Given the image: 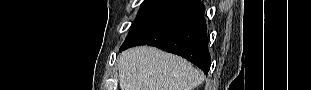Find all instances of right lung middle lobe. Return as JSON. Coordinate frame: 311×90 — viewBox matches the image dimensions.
<instances>
[{"mask_svg": "<svg viewBox=\"0 0 311 90\" xmlns=\"http://www.w3.org/2000/svg\"><path fill=\"white\" fill-rule=\"evenodd\" d=\"M192 0H144L135 23L123 44L137 41L147 33L171 20Z\"/></svg>", "mask_w": 311, "mask_h": 90, "instance_id": "1", "label": "right lung middle lobe"}]
</instances>
